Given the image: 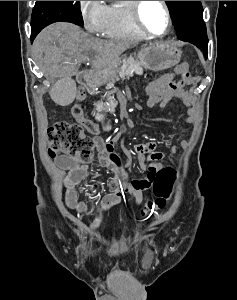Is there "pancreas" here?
Masks as SVG:
<instances>
[{"label": "pancreas", "mask_w": 237, "mask_h": 300, "mask_svg": "<svg viewBox=\"0 0 237 300\" xmlns=\"http://www.w3.org/2000/svg\"><path fill=\"white\" fill-rule=\"evenodd\" d=\"M132 73H138V75H143L142 65H140L139 61L133 59V57H129L124 61L123 67H120L117 71L118 77H111L109 79V83H107L106 89H111L114 87V83L116 81H120V79H125V77H132ZM107 103H104V111L106 113H115V107H117L118 103L115 101L114 97H107Z\"/></svg>", "instance_id": "1"}]
</instances>
